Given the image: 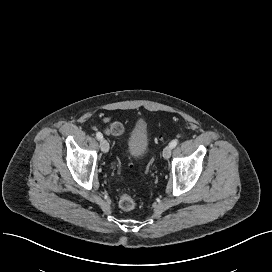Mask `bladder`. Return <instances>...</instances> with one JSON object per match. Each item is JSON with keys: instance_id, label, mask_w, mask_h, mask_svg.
Masks as SVG:
<instances>
[{"instance_id": "31cf9c89", "label": "bladder", "mask_w": 272, "mask_h": 272, "mask_svg": "<svg viewBox=\"0 0 272 272\" xmlns=\"http://www.w3.org/2000/svg\"><path fill=\"white\" fill-rule=\"evenodd\" d=\"M127 145L129 153L135 158L143 156L149 150L148 126L144 119H137L132 124L128 132Z\"/></svg>"}]
</instances>
